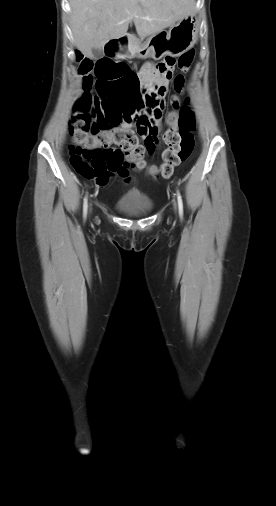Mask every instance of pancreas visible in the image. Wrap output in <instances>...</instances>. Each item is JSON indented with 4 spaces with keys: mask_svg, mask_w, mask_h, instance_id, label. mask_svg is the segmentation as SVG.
<instances>
[{
    "mask_svg": "<svg viewBox=\"0 0 276 506\" xmlns=\"http://www.w3.org/2000/svg\"><path fill=\"white\" fill-rule=\"evenodd\" d=\"M139 45V40L136 39L134 36L129 35V46L131 49H136Z\"/></svg>",
    "mask_w": 276,
    "mask_h": 506,
    "instance_id": "cf45deb5",
    "label": "pancreas"
}]
</instances>
